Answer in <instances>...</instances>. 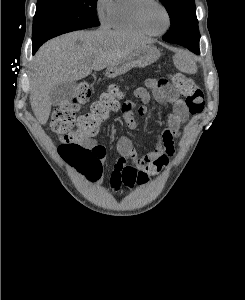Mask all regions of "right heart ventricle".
<instances>
[{
  "mask_svg": "<svg viewBox=\"0 0 245 300\" xmlns=\"http://www.w3.org/2000/svg\"><path fill=\"white\" fill-rule=\"evenodd\" d=\"M139 0H114L108 25L118 31L147 35L136 20Z\"/></svg>",
  "mask_w": 245,
  "mask_h": 300,
  "instance_id": "1",
  "label": "right heart ventricle"
}]
</instances>
